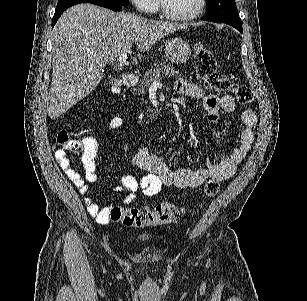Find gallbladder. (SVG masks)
Listing matches in <instances>:
<instances>
[{"instance_id":"gallbladder-1","label":"gallbladder","mask_w":307,"mask_h":301,"mask_svg":"<svg viewBox=\"0 0 307 301\" xmlns=\"http://www.w3.org/2000/svg\"><path fill=\"white\" fill-rule=\"evenodd\" d=\"M103 76H110L109 72H103Z\"/></svg>"}]
</instances>
